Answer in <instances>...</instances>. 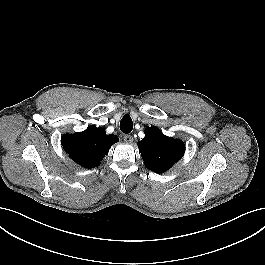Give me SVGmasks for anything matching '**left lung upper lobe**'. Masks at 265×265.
I'll list each match as a JSON object with an SVG mask.
<instances>
[{
	"label": "left lung upper lobe",
	"mask_w": 265,
	"mask_h": 265,
	"mask_svg": "<svg viewBox=\"0 0 265 265\" xmlns=\"http://www.w3.org/2000/svg\"><path fill=\"white\" fill-rule=\"evenodd\" d=\"M145 137L138 142V148L147 169L163 173L179 161L185 152L180 139L168 137L155 126L147 127Z\"/></svg>",
	"instance_id": "5c2ea615"
}]
</instances>
